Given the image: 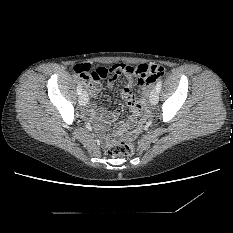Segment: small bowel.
Segmentation results:
<instances>
[{
  "instance_id": "c3829d8e",
  "label": "small bowel",
  "mask_w": 233,
  "mask_h": 233,
  "mask_svg": "<svg viewBox=\"0 0 233 233\" xmlns=\"http://www.w3.org/2000/svg\"><path fill=\"white\" fill-rule=\"evenodd\" d=\"M114 75L119 76V72L116 65ZM114 85V78L108 81V87L112 88ZM138 85L142 90V94L147 95L150 87V83H142L138 81ZM85 87L88 89L91 97H95L101 90L100 81H88L85 83ZM133 80L129 79L128 85L123 89L122 94L127 101L129 107H131V114L129 115L126 122L115 125L113 131L110 134H104L105 127L115 120L119 115V110L106 111L100 109L95 103H91L87 109V115L93 119L98 125V131L101 134V141L104 145H109L115 139L124 137H134L140 133V126L137 122L138 110L136 109V100L132 94Z\"/></svg>"
}]
</instances>
